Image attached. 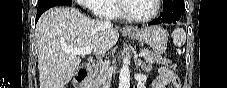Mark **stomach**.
Wrapping results in <instances>:
<instances>
[{"label":"stomach","mask_w":227,"mask_h":88,"mask_svg":"<svg viewBox=\"0 0 227 88\" xmlns=\"http://www.w3.org/2000/svg\"><path fill=\"white\" fill-rule=\"evenodd\" d=\"M131 38L149 45L156 53L162 54L167 47L168 33L160 26L146 27L127 33Z\"/></svg>","instance_id":"0dacf381"}]
</instances>
